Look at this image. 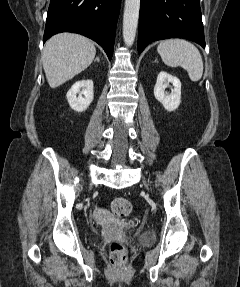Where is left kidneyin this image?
I'll return each mask as SVG.
<instances>
[{
	"label": "left kidney",
	"mask_w": 240,
	"mask_h": 287,
	"mask_svg": "<svg viewBox=\"0 0 240 287\" xmlns=\"http://www.w3.org/2000/svg\"><path fill=\"white\" fill-rule=\"evenodd\" d=\"M169 83H172L174 86V90L171 94L165 93V88ZM154 96L167 111L171 112L176 110L181 103L180 80L165 71H161L157 76L154 87Z\"/></svg>",
	"instance_id": "obj_1"
}]
</instances>
